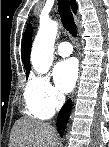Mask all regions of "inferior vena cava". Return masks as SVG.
Wrapping results in <instances>:
<instances>
[{
  "label": "inferior vena cava",
  "instance_id": "inferior-vena-cava-1",
  "mask_svg": "<svg viewBox=\"0 0 109 147\" xmlns=\"http://www.w3.org/2000/svg\"><path fill=\"white\" fill-rule=\"evenodd\" d=\"M56 100L59 106H62L65 103V96L63 94H57Z\"/></svg>",
  "mask_w": 109,
  "mask_h": 147
}]
</instances>
